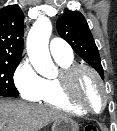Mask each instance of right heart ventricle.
<instances>
[{
	"instance_id": "obj_1",
	"label": "right heart ventricle",
	"mask_w": 117,
	"mask_h": 131,
	"mask_svg": "<svg viewBox=\"0 0 117 131\" xmlns=\"http://www.w3.org/2000/svg\"><path fill=\"white\" fill-rule=\"evenodd\" d=\"M61 71L74 65L73 58L56 59ZM60 76V75H59ZM58 77L44 79L43 89L37 98V102L52 106L75 115H84L87 112L70 102L63 93L60 79Z\"/></svg>"
}]
</instances>
